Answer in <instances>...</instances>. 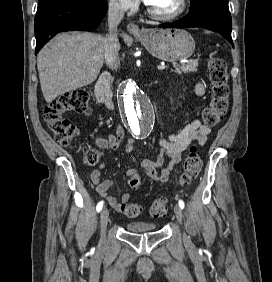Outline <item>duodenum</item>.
I'll use <instances>...</instances> for the list:
<instances>
[{"mask_svg": "<svg viewBox=\"0 0 272 282\" xmlns=\"http://www.w3.org/2000/svg\"><path fill=\"white\" fill-rule=\"evenodd\" d=\"M111 79V74L109 72H104L96 83L95 95L99 103L106 105L109 110L114 111L112 93L109 89Z\"/></svg>", "mask_w": 272, "mask_h": 282, "instance_id": "1", "label": "duodenum"}]
</instances>
